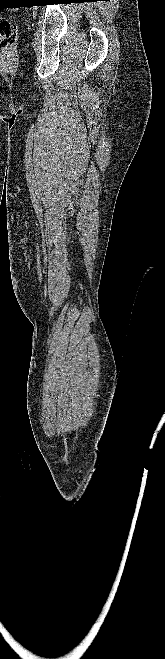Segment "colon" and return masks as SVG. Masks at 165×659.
Wrapping results in <instances>:
<instances>
[{"label": "colon", "instance_id": "1", "mask_svg": "<svg viewBox=\"0 0 165 659\" xmlns=\"http://www.w3.org/2000/svg\"><path fill=\"white\" fill-rule=\"evenodd\" d=\"M16 37V25L7 20L0 21V48L10 50L15 44Z\"/></svg>", "mask_w": 165, "mask_h": 659}]
</instances>
